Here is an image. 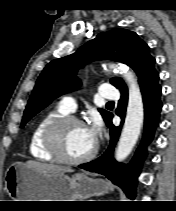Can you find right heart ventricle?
Listing matches in <instances>:
<instances>
[{
    "instance_id": "e07e8e85",
    "label": "right heart ventricle",
    "mask_w": 176,
    "mask_h": 211,
    "mask_svg": "<svg viewBox=\"0 0 176 211\" xmlns=\"http://www.w3.org/2000/svg\"><path fill=\"white\" fill-rule=\"evenodd\" d=\"M64 115H68V112L59 106L46 112L36 122L28 141L29 153L33 158L40 161L56 162L57 159L45 147L44 134L51 122Z\"/></svg>"
}]
</instances>
